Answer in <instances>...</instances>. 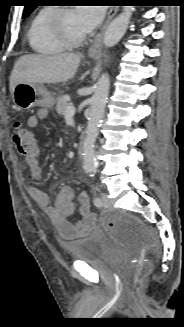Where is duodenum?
<instances>
[{
	"label": "duodenum",
	"instance_id": "obj_1",
	"mask_svg": "<svg viewBox=\"0 0 184 327\" xmlns=\"http://www.w3.org/2000/svg\"><path fill=\"white\" fill-rule=\"evenodd\" d=\"M86 146V137L84 135H81L79 144H78V154L80 157L83 156Z\"/></svg>",
	"mask_w": 184,
	"mask_h": 327
}]
</instances>
